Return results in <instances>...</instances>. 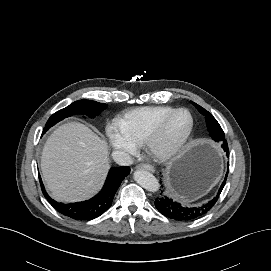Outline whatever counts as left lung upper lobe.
Wrapping results in <instances>:
<instances>
[{
  "label": "left lung upper lobe",
  "instance_id": "5c2ea615",
  "mask_svg": "<svg viewBox=\"0 0 271 271\" xmlns=\"http://www.w3.org/2000/svg\"><path fill=\"white\" fill-rule=\"evenodd\" d=\"M192 103L198 109V111L205 116L207 128L211 138L216 142L224 141L225 135L217 120L207 110L194 102Z\"/></svg>",
  "mask_w": 271,
  "mask_h": 271
}]
</instances>
